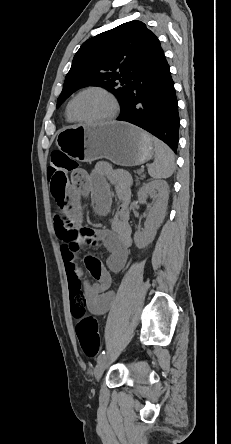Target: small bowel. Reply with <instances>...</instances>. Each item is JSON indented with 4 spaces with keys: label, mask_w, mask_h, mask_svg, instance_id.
Returning a JSON list of instances; mask_svg holds the SVG:
<instances>
[{
    "label": "small bowel",
    "mask_w": 231,
    "mask_h": 444,
    "mask_svg": "<svg viewBox=\"0 0 231 444\" xmlns=\"http://www.w3.org/2000/svg\"><path fill=\"white\" fill-rule=\"evenodd\" d=\"M51 191L58 203L54 216V228L62 241L61 253L65 265L69 287L78 283L85 294L87 308L93 315H103L110 309L114 293L109 290L112 274L123 269L131 246V228L128 223L131 178L114 171L107 164H97L90 173L82 170L72 174V179L58 186L50 180ZM112 184L120 204L112 221L111 228L97 233L78 227L80 221V197L89 196L96 212L106 214L111 206ZM101 244L106 251L105 264L88 255L84 259V268L79 262L81 249ZM88 273L93 281L87 278Z\"/></svg>",
    "instance_id": "obj_1"
}]
</instances>
